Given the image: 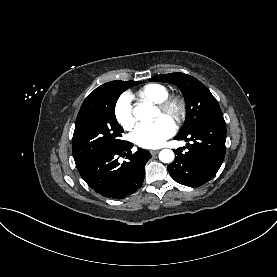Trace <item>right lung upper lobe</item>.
Wrapping results in <instances>:
<instances>
[{
    "label": "right lung upper lobe",
    "instance_id": "right-lung-upper-lobe-1",
    "mask_svg": "<svg viewBox=\"0 0 277 277\" xmlns=\"http://www.w3.org/2000/svg\"><path fill=\"white\" fill-rule=\"evenodd\" d=\"M99 88H100V87L96 88L93 92H91V93L87 96V98L84 100V102H85L86 100H88L89 98H91L92 96H94V95L97 93V91L99 90Z\"/></svg>",
    "mask_w": 277,
    "mask_h": 277
}]
</instances>
